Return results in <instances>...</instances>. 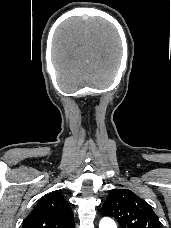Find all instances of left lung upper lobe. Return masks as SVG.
<instances>
[{
    "label": "left lung upper lobe",
    "instance_id": "left-lung-upper-lobe-1",
    "mask_svg": "<svg viewBox=\"0 0 171 228\" xmlns=\"http://www.w3.org/2000/svg\"><path fill=\"white\" fill-rule=\"evenodd\" d=\"M101 212L114 217L122 228H162L151 207L128 189L112 190Z\"/></svg>",
    "mask_w": 171,
    "mask_h": 228
}]
</instances>
